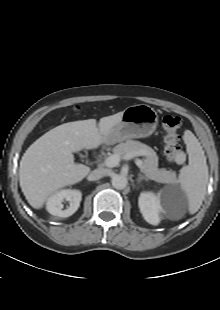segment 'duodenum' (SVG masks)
Listing matches in <instances>:
<instances>
[{"label":"duodenum","instance_id":"410a0bca","mask_svg":"<svg viewBox=\"0 0 220 310\" xmlns=\"http://www.w3.org/2000/svg\"><path fill=\"white\" fill-rule=\"evenodd\" d=\"M95 151H96V152H99V149H96Z\"/></svg>","mask_w":220,"mask_h":310}]
</instances>
